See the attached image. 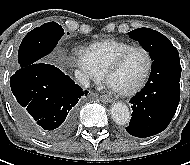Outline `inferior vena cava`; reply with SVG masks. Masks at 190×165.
I'll return each mask as SVG.
<instances>
[{
	"mask_svg": "<svg viewBox=\"0 0 190 165\" xmlns=\"http://www.w3.org/2000/svg\"><path fill=\"white\" fill-rule=\"evenodd\" d=\"M75 77L83 87L88 88L90 86L89 78L80 71H75Z\"/></svg>",
	"mask_w": 190,
	"mask_h": 165,
	"instance_id": "obj_1",
	"label": "inferior vena cava"
}]
</instances>
